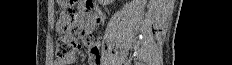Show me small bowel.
Returning <instances> with one entry per match:
<instances>
[{"instance_id": "obj_1", "label": "small bowel", "mask_w": 232, "mask_h": 65, "mask_svg": "<svg viewBox=\"0 0 232 65\" xmlns=\"http://www.w3.org/2000/svg\"><path fill=\"white\" fill-rule=\"evenodd\" d=\"M93 6L86 5L80 12H59L58 33L60 37L84 38V43L89 47V64L98 65L100 63V48L90 35V30L100 22V19L92 13ZM82 23L89 21L90 29H82L77 26V20ZM76 59V53L73 52L64 58L55 60V65L73 64Z\"/></svg>"}]
</instances>
